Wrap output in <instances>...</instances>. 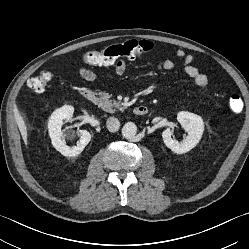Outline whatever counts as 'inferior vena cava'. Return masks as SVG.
Returning <instances> with one entry per match:
<instances>
[{"mask_svg":"<svg viewBox=\"0 0 249 249\" xmlns=\"http://www.w3.org/2000/svg\"><path fill=\"white\" fill-rule=\"evenodd\" d=\"M106 125H107V129L110 131V132H116L119 130V127H120V122L117 118L115 117H109L107 119V122H106Z\"/></svg>","mask_w":249,"mask_h":249,"instance_id":"1","label":"inferior vena cava"}]
</instances>
